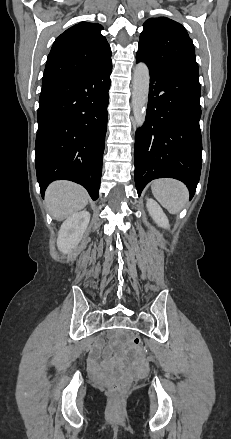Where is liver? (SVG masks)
Wrapping results in <instances>:
<instances>
[{"label":"liver","instance_id":"1","mask_svg":"<svg viewBox=\"0 0 231 439\" xmlns=\"http://www.w3.org/2000/svg\"><path fill=\"white\" fill-rule=\"evenodd\" d=\"M45 201L52 217L61 221L83 209L88 204L89 195L80 185L55 181L48 186Z\"/></svg>","mask_w":231,"mask_h":439}]
</instances>
